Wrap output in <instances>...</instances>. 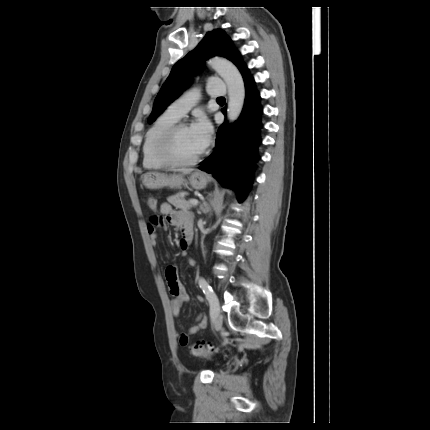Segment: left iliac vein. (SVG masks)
<instances>
[{"mask_svg": "<svg viewBox=\"0 0 430 430\" xmlns=\"http://www.w3.org/2000/svg\"><path fill=\"white\" fill-rule=\"evenodd\" d=\"M213 325L216 330H220L222 327V316L220 314V306L219 304L214 308L213 314Z\"/></svg>", "mask_w": 430, "mask_h": 430, "instance_id": "4c4485c4", "label": "left iliac vein"}]
</instances>
